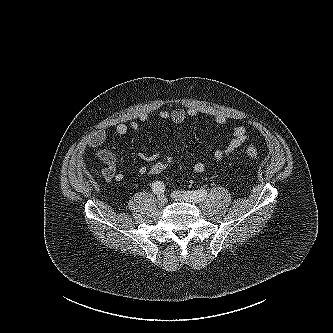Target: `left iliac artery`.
Segmentation results:
<instances>
[{"mask_svg": "<svg viewBox=\"0 0 333 333\" xmlns=\"http://www.w3.org/2000/svg\"><path fill=\"white\" fill-rule=\"evenodd\" d=\"M188 195L194 203H198L200 201H203L206 198L207 190L200 189V190H195V191H188Z\"/></svg>", "mask_w": 333, "mask_h": 333, "instance_id": "obj_1", "label": "left iliac artery"}]
</instances>
